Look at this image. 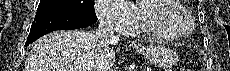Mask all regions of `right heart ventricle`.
I'll list each match as a JSON object with an SVG mask.
<instances>
[{
	"mask_svg": "<svg viewBox=\"0 0 230 71\" xmlns=\"http://www.w3.org/2000/svg\"><path fill=\"white\" fill-rule=\"evenodd\" d=\"M135 14H136V16H137V12L135 11ZM143 30L147 33V34H149V35H154L152 32H150L145 26H143ZM129 32H131V33H133V32H135V30H133V31H129ZM155 36V35H154Z\"/></svg>",
	"mask_w": 230,
	"mask_h": 71,
	"instance_id": "right-heart-ventricle-1",
	"label": "right heart ventricle"
}]
</instances>
